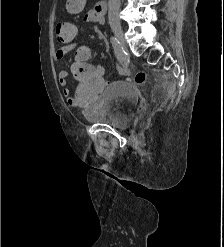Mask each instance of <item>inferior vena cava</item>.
I'll return each mask as SVG.
<instances>
[{"mask_svg": "<svg viewBox=\"0 0 224 247\" xmlns=\"http://www.w3.org/2000/svg\"><path fill=\"white\" fill-rule=\"evenodd\" d=\"M119 8H120V0H109V10H108L109 24H111V22H116V24H120Z\"/></svg>", "mask_w": 224, "mask_h": 247, "instance_id": "602c4592", "label": "inferior vena cava"}]
</instances>
